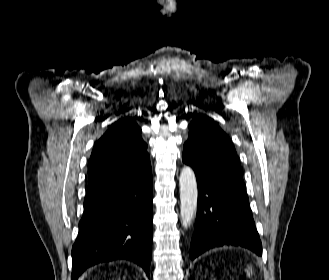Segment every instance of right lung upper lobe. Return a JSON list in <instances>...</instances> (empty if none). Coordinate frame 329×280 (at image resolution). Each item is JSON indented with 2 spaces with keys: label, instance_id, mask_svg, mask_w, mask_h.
Returning <instances> with one entry per match:
<instances>
[{
  "label": "right lung upper lobe",
  "instance_id": "cb5924a9",
  "mask_svg": "<svg viewBox=\"0 0 329 280\" xmlns=\"http://www.w3.org/2000/svg\"><path fill=\"white\" fill-rule=\"evenodd\" d=\"M146 148L135 120L129 117L118 120L94 145L89 162V182L110 174L150 169Z\"/></svg>",
  "mask_w": 329,
  "mask_h": 280
}]
</instances>
